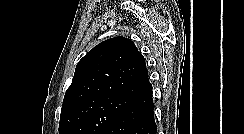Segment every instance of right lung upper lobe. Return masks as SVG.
I'll return each instance as SVG.
<instances>
[{
    "label": "right lung upper lobe",
    "mask_w": 244,
    "mask_h": 134,
    "mask_svg": "<svg viewBox=\"0 0 244 134\" xmlns=\"http://www.w3.org/2000/svg\"><path fill=\"white\" fill-rule=\"evenodd\" d=\"M152 91L145 59L125 37L108 39L88 52L77 64L61 108L64 118L77 105L103 97L133 100Z\"/></svg>",
    "instance_id": "obj_1"
}]
</instances>
